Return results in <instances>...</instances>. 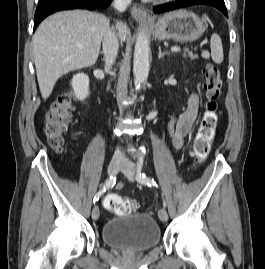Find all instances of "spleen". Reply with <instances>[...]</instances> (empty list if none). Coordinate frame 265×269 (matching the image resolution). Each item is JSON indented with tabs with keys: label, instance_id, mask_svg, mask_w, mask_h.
Wrapping results in <instances>:
<instances>
[{
	"label": "spleen",
	"instance_id": "1",
	"mask_svg": "<svg viewBox=\"0 0 265 269\" xmlns=\"http://www.w3.org/2000/svg\"><path fill=\"white\" fill-rule=\"evenodd\" d=\"M211 58L216 64H220L223 61V47L222 42L218 34L214 33L210 39Z\"/></svg>",
	"mask_w": 265,
	"mask_h": 269
}]
</instances>
